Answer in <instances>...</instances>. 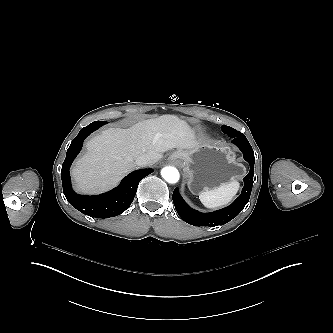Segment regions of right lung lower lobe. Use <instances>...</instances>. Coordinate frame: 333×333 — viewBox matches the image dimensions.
<instances>
[{
  "mask_svg": "<svg viewBox=\"0 0 333 333\" xmlns=\"http://www.w3.org/2000/svg\"><path fill=\"white\" fill-rule=\"evenodd\" d=\"M106 123L95 121L80 130L67 150L61 170L63 193L68 202L83 214L96 218H109L123 213L131 205L139 182L153 172L152 169L136 170L128 174L118 187L101 195L81 196L72 190L69 168L73 160L80 152L84 139Z\"/></svg>",
  "mask_w": 333,
  "mask_h": 333,
  "instance_id": "1",
  "label": "right lung lower lobe"
}]
</instances>
